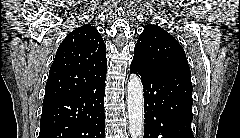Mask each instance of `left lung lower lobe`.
Here are the masks:
<instances>
[{
	"instance_id": "0a47b994",
	"label": "left lung lower lobe",
	"mask_w": 240,
	"mask_h": 138,
	"mask_svg": "<svg viewBox=\"0 0 240 138\" xmlns=\"http://www.w3.org/2000/svg\"><path fill=\"white\" fill-rule=\"evenodd\" d=\"M130 72L141 78L144 88L143 138H194L190 70L149 68L132 60Z\"/></svg>"
}]
</instances>
